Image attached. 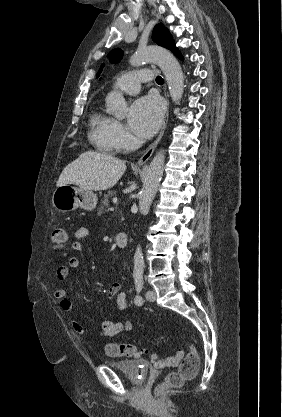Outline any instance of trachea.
I'll return each mask as SVG.
<instances>
[{
    "label": "trachea",
    "instance_id": "obj_1",
    "mask_svg": "<svg viewBox=\"0 0 282 417\" xmlns=\"http://www.w3.org/2000/svg\"><path fill=\"white\" fill-rule=\"evenodd\" d=\"M156 83H158V85H163L164 79L160 76H157L156 77Z\"/></svg>",
    "mask_w": 282,
    "mask_h": 417
}]
</instances>
